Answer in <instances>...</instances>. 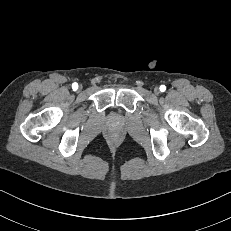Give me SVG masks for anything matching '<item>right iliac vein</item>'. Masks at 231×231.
<instances>
[{
	"label": "right iliac vein",
	"instance_id": "1",
	"mask_svg": "<svg viewBox=\"0 0 231 231\" xmlns=\"http://www.w3.org/2000/svg\"><path fill=\"white\" fill-rule=\"evenodd\" d=\"M82 89V86H79V90H81Z\"/></svg>",
	"mask_w": 231,
	"mask_h": 231
}]
</instances>
